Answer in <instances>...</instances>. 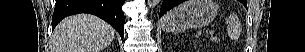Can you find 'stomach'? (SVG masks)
I'll return each instance as SVG.
<instances>
[{
  "instance_id": "1",
  "label": "stomach",
  "mask_w": 305,
  "mask_h": 52,
  "mask_svg": "<svg viewBox=\"0 0 305 52\" xmlns=\"http://www.w3.org/2000/svg\"><path fill=\"white\" fill-rule=\"evenodd\" d=\"M218 12L213 0H187L167 12L162 20L163 28L170 32H184L211 23Z\"/></svg>"
}]
</instances>
